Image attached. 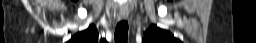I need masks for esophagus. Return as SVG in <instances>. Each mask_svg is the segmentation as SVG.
Masks as SVG:
<instances>
[{
    "label": "esophagus",
    "mask_w": 256,
    "mask_h": 43,
    "mask_svg": "<svg viewBox=\"0 0 256 43\" xmlns=\"http://www.w3.org/2000/svg\"><path fill=\"white\" fill-rule=\"evenodd\" d=\"M129 15V11L126 9H120L119 11V19L120 20H127Z\"/></svg>",
    "instance_id": "esophagus-1"
}]
</instances>
